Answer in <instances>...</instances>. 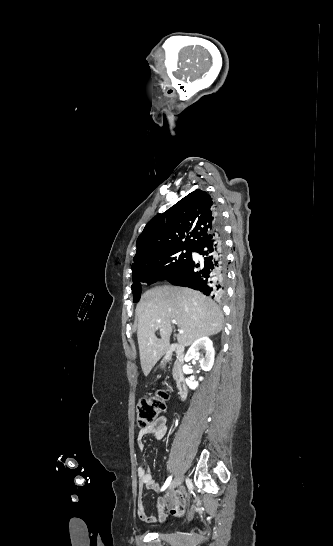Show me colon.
I'll return each mask as SVG.
<instances>
[{
    "mask_svg": "<svg viewBox=\"0 0 333 546\" xmlns=\"http://www.w3.org/2000/svg\"><path fill=\"white\" fill-rule=\"evenodd\" d=\"M169 390L161 388L153 396L141 399L136 407L138 426L143 429L150 426L165 410Z\"/></svg>",
    "mask_w": 333,
    "mask_h": 546,
    "instance_id": "obj_1",
    "label": "colon"
}]
</instances>
